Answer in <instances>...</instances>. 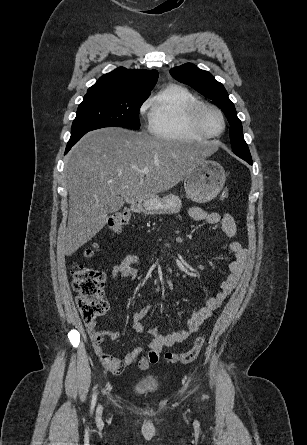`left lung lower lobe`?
<instances>
[{
  "instance_id": "left-lung-lower-lobe-1",
  "label": "left lung lower lobe",
  "mask_w": 307,
  "mask_h": 445,
  "mask_svg": "<svg viewBox=\"0 0 307 445\" xmlns=\"http://www.w3.org/2000/svg\"><path fill=\"white\" fill-rule=\"evenodd\" d=\"M239 157L242 158V159H244L245 161H247L249 164L252 165V158H251V157H250V158L245 157V156H239Z\"/></svg>"
}]
</instances>
